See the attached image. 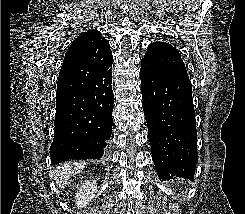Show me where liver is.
I'll return each mask as SVG.
<instances>
[{
    "instance_id": "obj_1",
    "label": "liver",
    "mask_w": 245,
    "mask_h": 214,
    "mask_svg": "<svg viewBox=\"0 0 245 214\" xmlns=\"http://www.w3.org/2000/svg\"><path fill=\"white\" fill-rule=\"evenodd\" d=\"M86 166L84 162L70 161L59 165L54 173V180L59 189H63L68 179L80 173Z\"/></svg>"
}]
</instances>
